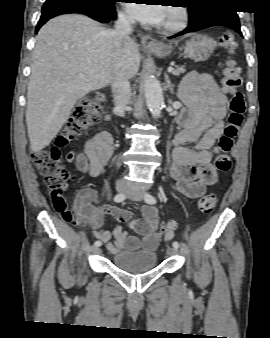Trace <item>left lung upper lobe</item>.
<instances>
[{"label":"left lung upper lobe","instance_id":"left-lung-upper-lobe-1","mask_svg":"<svg viewBox=\"0 0 270 338\" xmlns=\"http://www.w3.org/2000/svg\"><path fill=\"white\" fill-rule=\"evenodd\" d=\"M229 0H189V25H193L204 17L225 9Z\"/></svg>","mask_w":270,"mask_h":338}]
</instances>
